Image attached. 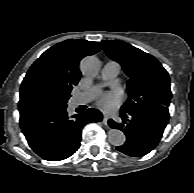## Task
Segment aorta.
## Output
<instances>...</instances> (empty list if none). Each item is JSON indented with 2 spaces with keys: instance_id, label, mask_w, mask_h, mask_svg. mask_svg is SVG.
I'll list each match as a JSON object with an SVG mask.
<instances>
[{
  "instance_id": "aorta-1",
  "label": "aorta",
  "mask_w": 194,
  "mask_h": 193,
  "mask_svg": "<svg viewBox=\"0 0 194 193\" xmlns=\"http://www.w3.org/2000/svg\"><path fill=\"white\" fill-rule=\"evenodd\" d=\"M82 73L89 77H94L100 70V62L95 56H87L80 63ZM108 140L114 146H121L126 141L125 134L119 129H110L108 131Z\"/></svg>"
}]
</instances>
